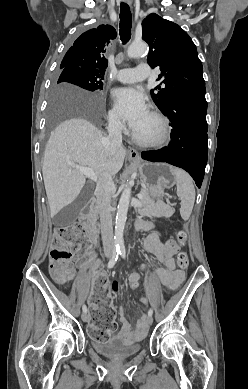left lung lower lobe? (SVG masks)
Returning a JSON list of instances; mask_svg holds the SVG:
<instances>
[{
  "label": "left lung lower lobe",
  "instance_id": "obj_1",
  "mask_svg": "<svg viewBox=\"0 0 248 389\" xmlns=\"http://www.w3.org/2000/svg\"><path fill=\"white\" fill-rule=\"evenodd\" d=\"M161 111L171 121V142L161 150L142 152V158L183 168L200 188L208 156L205 87L183 91Z\"/></svg>",
  "mask_w": 248,
  "mask_h": 389
}]
</instances>
